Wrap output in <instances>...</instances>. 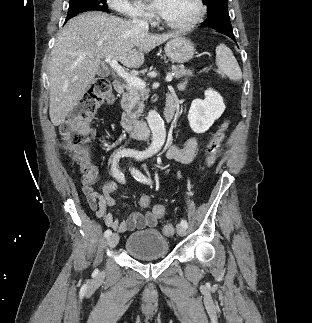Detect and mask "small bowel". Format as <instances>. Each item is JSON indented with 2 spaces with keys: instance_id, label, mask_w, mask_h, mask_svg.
I'll return each instance as SVG.
<instances>
[{
  "instance_id": "c3829d8e",
  "label": "small bowel",
  "mask_w": 312,
  "mask_h": 323,
  "mask_svg": "<svg viewBox=\"0 0 312 323\" xmlns=\"http://www.w3.org/2000/svg\"><path fill=\"white\" fill-rule=\"evenodd\" d=\"M185 89V84H181L178 90ZM197 150V141L194 137L189 138L183 147L170 145L165 150V157L168 160L182 164L192 162ZM98 177V168L88 159L81 164V187L83 194L87 197V202L92 210L96 212V216L102 219L104 223L119 232H131L134 230L155 228L158 221L163 216H155L154 211L150 210L143 213L133 212L125 220L119 221L108 212V207L114 206L116 203L115 194L117 185L107 183L103 186L101 193L94 190V183Z\"/></svg>"
}]
</instances>
